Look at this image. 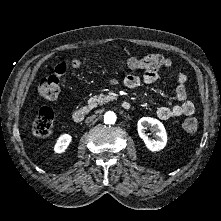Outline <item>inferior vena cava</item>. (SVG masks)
Here are the masks:
<instances>
[{
    "label": "inferior vena cava",
    "instance_id": "obj_1",
    "mask_svg": "<svg viewBox=\"0 0 221 221\" xmlns=\"http://www.w3.org/2000/svg\"><path fill=\"white\" fill-rule=\"evenodd\" d=\"M95 118H96V115H91V116L87 117V119L85 120V122H86V123H90V122H92Z\"/></svg>",
    "mask_w": 221,
    "mask_h": 221
}]
</instances>
